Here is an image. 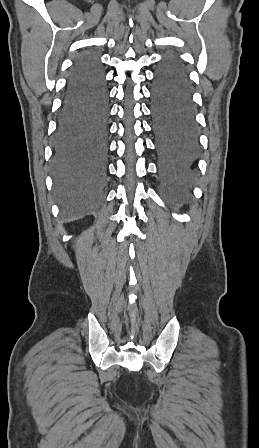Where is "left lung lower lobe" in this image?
<instances>
[{
  "mask_svg": "<svg viewBox=\"0 0 259 448\" xmlns=\"http://www.w3.org/2000/svg\"><path fill=\"white\" fill-rule=\"evenodd\" d=\"M150 100L162 175L172 186L185 185L199 155V132L188 73L176 57L166 58L156 70Z\"/></svg>",
  "mask_w": 259,
  "mask_h": 448,
  "instance_id": "0a47b994",
  "label": "left lung lower lobe"
}]
</instances>
